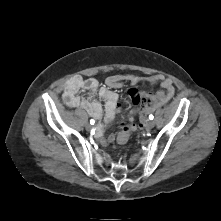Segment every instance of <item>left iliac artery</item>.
<instances>
[{
    "label": "left iliac artery",
    "instance_id": "left-iliac-artery-1",
    "mask_svg": "<svg viewBox=\"0 0 221 221\" xmlns=\"http://www.w3.org/2000/svg\"><path fill=\"white\" fill-rule=\"evenodd\" d=\"M154 116L152 114L149 115V119L152 120Z\"/></svg>",
    "mask_w": 221,
    "mask_h": 221
}]
</instances>
